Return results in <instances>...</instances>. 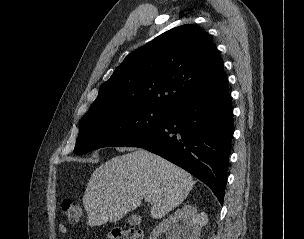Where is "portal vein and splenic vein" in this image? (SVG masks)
Wrapping results in <instances>:
<instances>
[{
    "label": "portal vein and splenic vein",
    "mask_w": 304,
    "mask_h": 239,
    "mask_svg": "<svg viewBox=\"0 0 304 239\" xmlns=\"http://www.w3.org/2000/svg\"><path fill=\"white\" fill-rule=\"evenodd\" d=\"M145 200L148 201V202L150 201V199L148 197H145Z\"/></svg>",
    "instance_id": "obj_1"
}]
</instances>
